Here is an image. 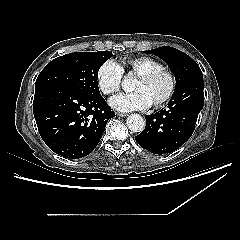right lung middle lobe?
Returning a JSON list of instances; mask_svg holds the SVG:
<instances>
[{
    "label": "right lung middle lobe",
    "mask_w": 240,
    "mask_h": 240,
    "mask_svg": "<svg viewBox=\"0 0 240 240\" xmlns=\"http://www.w3.org/2000/svg\"><path fill=\"white\" fill-rule=\"evenodd\" d=\"M108 51L75 52L55 58L39 74L35 88L59 86L87 95L100 94L97 77Z\"/></svg>",
    "instance_id": "1"
}]
</instances>
